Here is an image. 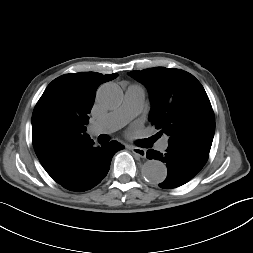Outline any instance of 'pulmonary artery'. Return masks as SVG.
<instances>
[{
  "mask_svg": "<svg viewBox=\"0 0 253 253\" xmlns=\"http://www.w3.org/2000/svg\"><path fill=\"white\" fill-rule=\"evenodd\" d=\"M144 89L139 85H130L124 96L122 105L106 114L103 118L95 121L89 128L90 133L94 135L109 134L124 126L131 119L136 117L144 102ZM168 148V138L164 137L158 144L160 151H165Z\"/></svg>",
  "mask_w": 253,
  "mask_h": 253,
  "instance_id": "pulmonary-artery-1",
  "label": "pulmonary artery"
}]
</instances>
